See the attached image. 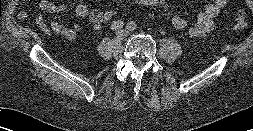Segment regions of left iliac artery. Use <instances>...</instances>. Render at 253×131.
<instances>
[{
	"instance_id": "obj_1",
	"label": "left iliac artery",
	"mask_w": 253,
	"mask_h": 131,
	"mask_svg": "<svg viewBox=\"0 0 253 131\" xmlns=\"http://www.w3.org/2000/svg\"><path fill=\"white\" fill-rule=\"evenodd\" d=\"M126 28L129 30V31H133L134 29H136V23L131 21L129 22L127 25H126Z\"/></svg>"
}]
</instances>
